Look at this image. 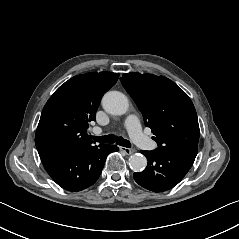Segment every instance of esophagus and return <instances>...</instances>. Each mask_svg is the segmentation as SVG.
<instances>
[{"mask_svg":"<svg viewBox=\"0 0 239 239\" xmlns=\"http://www.w3.org/2000/svg\"><path fill=\"white\" fill-rule=\"evenodd\" d=\"M120 150L123 151L127 155H131L134 153V150L130 149V148L120 147Z\"/></svg>","mask_w":239,"mask_h":239,"instance_id":"esophagus-1","label":"esophagus"}]
</instances>
